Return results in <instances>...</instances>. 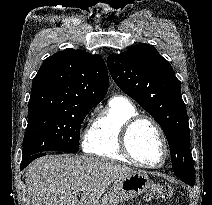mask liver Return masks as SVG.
<instances>
[{
	"label": "liver",
	"instance_id": "obj_1",
	"mask_svg": "<svg viewBox=\"0 0 212 205\" xmlns=\"http://www.w3.org/2000/svg\"><path fill=\"white\" fill-rule=\"evenodd\" d=\"M130 172L131 168L102 158L45 156L25 172L29 205H98L111 183Z\"/></svg>",
	"mask_w": 212,
	"mask_h": 205
}]
</instances>
